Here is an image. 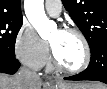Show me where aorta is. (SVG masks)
Returning <instances> with one entry per match:
<instances>
[{"instance_id": "obj_1", "label": "aorta", "mask_w": 107, "mask_h": 89, "mask_svg": "<svg viewBox=\"0 0 107 89\" xmlns=\"http://www.w3.org/2000/svg\"><path fill=\"white\" fill-rule=\"evenodd\" d=\"M24 9L27 19L42 38L50 37L56 30V24L45 14L43 0H25Z\"/></svg>"}]
</instances>
